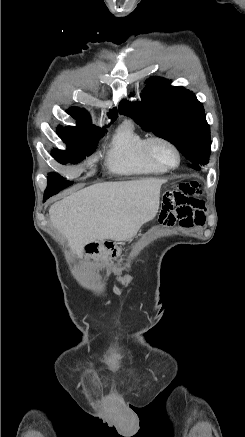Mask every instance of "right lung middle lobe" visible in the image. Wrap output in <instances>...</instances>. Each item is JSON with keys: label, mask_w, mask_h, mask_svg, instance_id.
<instances>
[{"label": "right lung middle lobe", "mask_w": 245, "mask_h": 437, "mask_svg": "<svg viewBox=\"0 0 245 437\" xmlns=\"http://www.w3.org/2000/svg\"><path fill=\"white\" fill-rule=\"evenodd\" d=\"M105 129L94 126L77 124L76 127L67 126L57 128L58 136L66 143L67 150H54L52 157L61 164H76L83 160L85 156L92 154L97 146L98 140L104 136ZM69 183L63 177L56 173L48 174V184L50 183Z\"/></svg>", "instance_id": "dd1d6c3e"}]
</instances>
